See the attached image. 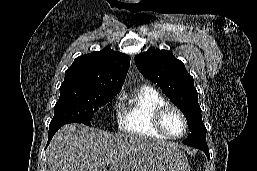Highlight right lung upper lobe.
<instances>
[{
    "label": "right lung upper lobe",
    "mask_w": 257,
    "mask_h": 171,
    "mask_svg": "<svg viewBox=\"0 0 257 171\" xmlns=\"http://www.w3.org/2000/svg\"><path fill=\"white\" fill-rule=\"evenodd\" d=\"M129 64L128 55L109 48L79 56L65 71V78L60 88L83 86L119 92L125 81Z\"/></svg>",
    "instance_id": "obj_1"
}]
</instances>
